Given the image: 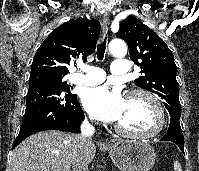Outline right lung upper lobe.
<instances>
[{"instance_id":"1","label":"right lung upper lobe","mask_w":199,"mask_h":171,"mask_svg":"<svg viewBox=\"0 0 199 171\" xmlns=\"http://www.w3.org/2000/svg\"><path fill=\"white\" fill-rule=\"evenodd\" d=\"M100 33L97 20L76 19L53 30L37 50L30 76L53 75L64 77L68 65L76 57L83 60L92 54Z\"/></svg>"}]
</instances>
